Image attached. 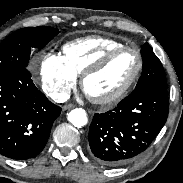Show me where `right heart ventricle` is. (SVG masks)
I'll return each instance as SVG.
<instances>
[{
	"mask_svg": "<svg viewBox=\"0 0 183 183\" xmlns=\"http://www.w3.org/2000/svg\"><path fill=\"white\" fill-rule=\"evenodd\" d=\"M122 45L121 42L112 38L88 36L65 44L62 48V56L66 65L80 76L106 52Z\"/></svg>",
	"mask_w": 183,
	"mask_h": 183,
	"instance_id": "obj_1",
	"label": "right heart ventricle"
}]
</instances>
